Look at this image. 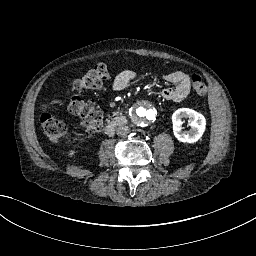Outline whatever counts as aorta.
<instances>
[{
	"instance_id": "aorta-1",
	"label": "aorta",
	"mask_w": 256,
	"mask_h": 256,
	"mask_svg": "<svg viewBox=\"0 0 256 256\" xmlns=\"http://www.w3.org/2000/svg\"><path fill=\"white\" fill-rule=\"evenodd\" d=\"M131 115L135 121L139 123H146L152 119L154 115V108L150 102L146 100H139L133 104L131 108Z\"/></svg>"
}]
</instances>
